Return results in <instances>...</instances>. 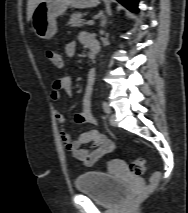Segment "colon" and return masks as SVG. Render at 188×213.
<instances>
[{"label": "colon", "mask_w": 188, "mask_h": 213, "mask_svg": "<svg viewBox=\"0 0 188 213\" xmlns=\"http://www.w3.org/2000/svg\"><path fill=\"white\" fill-rule=\"evenodd\" d=\"M46 55L49 60L59 62V54L56 53L55 51L48 50L46 52ZM145 169H146V162L143 158H139V159L135 160L130 166V172L134 176L142 175L145 172ZM157 177H158V172H155L153 174V179L155 180V179H157ZM148 191H149V189L146 186L140 185L137 188L136 195L138 198H140V197L144 196Z\"/></svg>", "instance_id": "colon-1"}]
</instances>
